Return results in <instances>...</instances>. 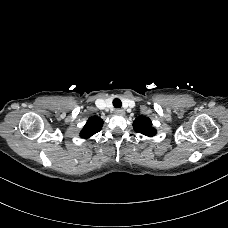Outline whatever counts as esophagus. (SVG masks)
I'll list each match as a JSON object with an SVG mask.
<instances>
[{"label": "esophagus", "instance_id": "1", "mask_svg": "<svg viewBox=\"0 0 228 228\" xmlns=\"http://www.w3.org/2000/svg\"><path fill=\"white\" fill-rule=\"evenodd\" d=\"M124 110L123 109H116L115 110V114H117V115H124Z\"/></svg>", "mask_w": 228, "mask_h": 228}]
</instances>
